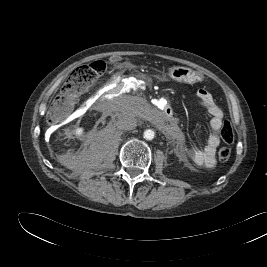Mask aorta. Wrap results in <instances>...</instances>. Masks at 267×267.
I'll return each mask as SVG.
<instances>
[{
	"label": "aorta",
	"mask_w": 267,
	"mask_h": 267,
	"mask_svg": "<svg viewBox=\"0 0 267 267\" xmlns=\"http://www.w3.org/2000/svg\"><path fill=\"white\" fill-rule=\"evenodd\" d=\"M154 136H155V133L153 130L147 129L144 131V138L146 140H152L154 138Z\"/></svg>",
	"instance_id": "762f6f07"
}]
</instances>
